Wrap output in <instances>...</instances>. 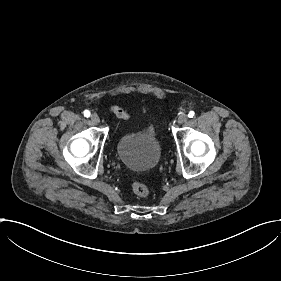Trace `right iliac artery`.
Here are the masks:
<instances>
[{
    "mask_svg": "<svg viewBox=\"0 0 281 281\" xmlns=\"http://www.w3.org/2000/svg\"><path fill=\"white\" fill-rule=\"evenodd\" d=\"M84 116L87 117V118L90 117V111L85 110L84 111Z\"/></svg>",
    "mask_w": 281,
    "mask_h": 281,
    "instance_id": "1",
    "label": "right iliac artery"
}]
</instances>
